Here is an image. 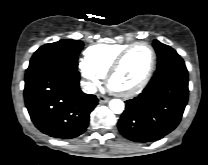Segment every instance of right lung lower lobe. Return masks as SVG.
<instances>
[{
    "mask_svg": "<svg viewBox=\"0 0 208 165\" xmlns=\"http://www.w3.org/2000/svg\"><path fill=\"white\" fill-rule=\"evenodd\" d=\"M79 80L77 66L61 59L48 60L27 69L25 105L41 132L70 139L86 130L98 99L83 93Z\"/></svg>",
    "mask_w": 208,
    "mask_h": 165,
    "instance_id": "right-lung-lower-lobe-1",
    "label": "right lung lower lobe"
}]
</instances>
